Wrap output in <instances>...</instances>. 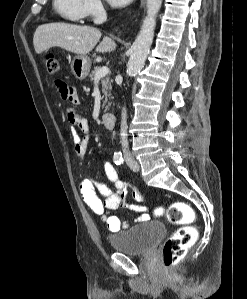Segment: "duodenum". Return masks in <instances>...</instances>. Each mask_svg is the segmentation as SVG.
Returning a JSON list of instances; mask_svg holds the SVG:
<instances>
[{
  "instance_id": "duodenum-1",
  "label": "duodenum",
  "mask_w": 247,
  "mask_h": 299,
  "mask_svg": "<svg viewBox=\"0 0 247 299\" xmlns=\"http://www.w3.org/2000/svg\"><path fill=\"white\" fill-rule=\"evenodd\" d=\"M102 123L107 129L112 130L115 127V124H116L115 115L113 113L103 114Z\"/></svg>"
}]
</instances>
